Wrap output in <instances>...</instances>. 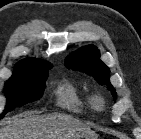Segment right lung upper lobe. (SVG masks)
Instances as JSON below:
<instances>
[{
  "label": "right lung upper lobe",
  "instance_id": "cb5924a9",
  "mask_svg": "<svg viewBox=\"0 0 141 139\" xmlns=\"http://www.w3.org/2000/svg\"><path fill=\"white\" fill-rule=\"evenodd\" d=\"M49 63L42 62L41 60H38L36 58H26L21 61H19L16 65L14 70H20L25 68H33V67H44L49 66Z\"/></svg>",
  "mask_w": 141,
  "mask_h": 139
}]
</instances>
